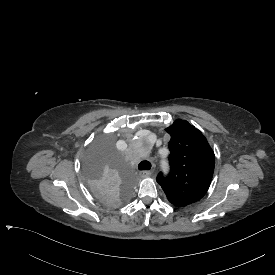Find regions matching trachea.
I'll use <instances>...</instances> for the list:
<instances>
[{
  "label": "trachea",
  "instance_id": "trachea-1",
  "mask_svg": "<svg viewBox=\"0 0 275 275\" xmlns=\"http://www.w3.org/2000/svg\"><path fill=\"white\" fill-rule=\"evenodd\" d=\"M139 170H150L151 169V163L149 161H141L138 165Z\"/></svg>",
  "mask_w": 275,
  "mask_h": 275
}]
</instances>
